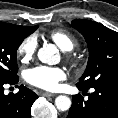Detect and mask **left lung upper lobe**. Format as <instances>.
<instances>
[{
  "label": "left lung upper lobe",
  "instance_id": "5c2ea615",
  "mask_svg": "<svg viewBox=\"0 0 118 118\" xmlns=\"http://www.w3.org/2000/svg\"><path fill=\"white\" fill-rule=\"evenodd\" d=\"M72 26L84 36L89 50L88 64L77 87L118 84V33L84 19L73 20Z\"/></svg>",
  "mask_w": 118,
  "mask_h": 118
}]
</instances>
